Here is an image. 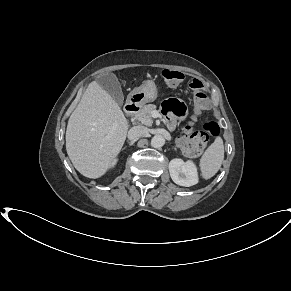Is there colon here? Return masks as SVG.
Returning <instances> with one entry per match:
<instances>
[{"label":"colon","instance_id":"colon-1","mask_svg":"<svg viewBox=\"0 0 291 291\" xmlns=\"http://www.w3.org/2000/svg\"><path fill=\"white\" fill-rule=\"evenodd\" d=\"M162 77L169 85L179 84L184 75L180 71L166 69L162 71ZM193 95L195 111L202 122V130L192 131L190 127H186L183 135L179 138V145L182 151L190 156L200 154L207 146L211 137L218 134L219 128L211 119L203 116L209 105V99L204 91L201 81L194 79L190 84Z\"/></svg>","mask_w":291,"mask_h":291}]
</instances>
